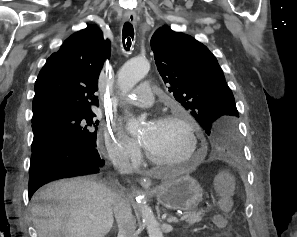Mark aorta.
I'll return each instance as SVG.
<instances>
[{
	"label": "aorta",
	"instance_id": "762f6f07",
	"mask_svg": "<svg viewBox=\"0 0 297 237\" xmlns=\"http://www.w3.org/2000/svg\"><path fill=\"white\" fill-rule=\"evenodd\" d=\"M149 63L143 58H133L127 61L119 70L117 82L123 94L128 93L149 71ZM140 129V120L131 118L128 120L126 130L131 135H137ZM139 208L141 211L142 222L146 225L149 237H163L159 223L154 217L151 208L139 198Z\"/></svg>",
	"mask_w": 297,
	"mask_h": 237
}]
</instances>
